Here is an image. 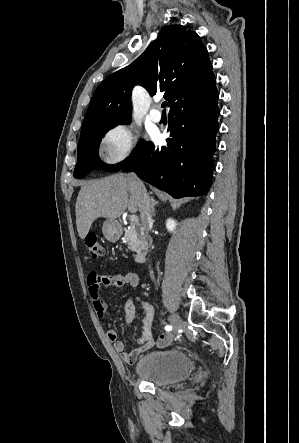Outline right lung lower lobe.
Segmentation results:
<instances>
[{"label":"right lung lower lobe","instance_id":"98d812e1","mask_svg":"<svg viewBox=\"0 0 299 443\" xmlns=\"http://www.w3.org/2000/svg\"><path fill=\"white\" fill-rule=\"evenodd\" d=\"M218 93L214 74L180 96L169 111L167 146L147 143L139 157L124 167L174 198L209 191L218 131Z\"/></svg>","mask_w":299,"mask_h":443}]
</instances>
